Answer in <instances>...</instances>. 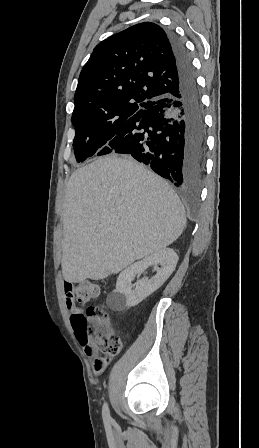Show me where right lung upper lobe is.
Here are the masks:
<instances>
[{"instance_id":"1","label":"right lung upper lobe","mask_w":259,"mask_h":448,"mask_svg":"<svg viewBox=\"0 0 259 448\" xmlns=\"http://www.w3.org/2000/svg\"><path fill=\"white\" fill-rule=\"evenodd\" d=\"M178 79L167 33L152 22L136 24L94 48L72 115L148 105L176 91Z\"/></svg>"}]
</instances>
